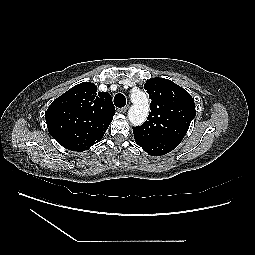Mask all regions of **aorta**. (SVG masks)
I'll return each mask as SVG.
<instances>
[{
	"label": "aorta",
	"mask_w": 255,
	"mask_h": 255,
	"mask_svg": "<svg viewBox=\"0 0 255 255\" xmlns=\"http://www.w3.org/2000/svg\"><path fill=\"white\" fill-rule=\"evenodd\" d=\"M131 101L133 105L128 111V119L134 126L141 125L148 116V98L143 91L137 90L131 93Z\"/></svg>",
	"instance_id": "1"
}]
</instances>
